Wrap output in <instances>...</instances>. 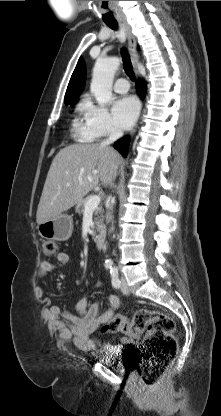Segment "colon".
<instances>
[{
	"label": "colon",
	"mask_w": 221,
	"mask_h": 416,
	"mask_svg": "<svg viewBox=\"0 0 221 416\" xmlns=\"http://www.w3.org/2000/svg\"><path fill=\"white\" fill-rule=\"evenodd\" d=\"M57 249L55 241L43 242L42 252L45 255L52 256ZM175 330V321L169 314L149 309L137 310L131 318L115 315L102 326V332L106 334H145L140 350V375L148 385L159 380L177 353Z\"/></svg>",
	"instance_id": "5ec220e1"
}]
</instances>
